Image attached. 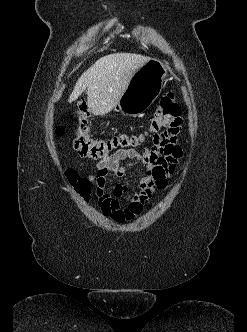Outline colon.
I'll return each instance as SVG.
<instances>
[{
	"mask_svg": "<svg viewBox=\"0 0 247 332\" xmlns=\"http://www.w3.org/2000/svg\"><path fill=\"white\" fill-rule=\"evenodd\" d=\"M180 106L173 93L164 95L150 119L148 132L152 135L154 145L167 142L168 138L176 135L180 127ZM89 110L85 102H78L75 113L69 119L76 123L74 149L83 157L99 159L110 156L114 151L137 146L142 141L141 136L120 134L107 138L93 137L88 125ZM63 133V127H58L57 134ZM69 178L77 192L85 199H89L91 183L86 178H79L71 172Z\"/></svg>",
	"mask_w": 247,
	"mask_h": 332,
	"instance_id": "obj_1",
	"label": "colon"
}]
</instances>
